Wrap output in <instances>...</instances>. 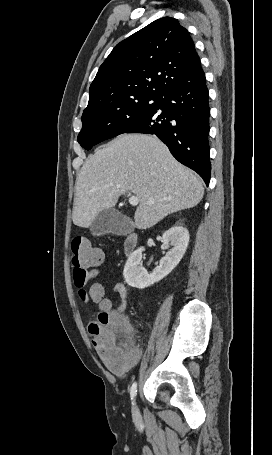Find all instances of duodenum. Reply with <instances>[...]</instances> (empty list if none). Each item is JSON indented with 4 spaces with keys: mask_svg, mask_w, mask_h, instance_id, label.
<instances>
[{
    "mask_svg": "<svg viewBox=\"0 0 272 455\" xmlns=\"http://www.w3.org/2000/svg\"><path fill=\"white\" fill-rule=\"evenodd\" d=\"M138 235L136 233H130L125 236L124 239V252L127 256H131L138 245Z\"/></svg>",
    "mask_w": 272,
    "mask_h": 455,
    "instance_id": "1",
    "label": "duodenum"
}]
</instances>
